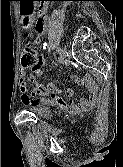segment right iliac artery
I'll return each instance as SVG.
<instances>
[{"label":"right iliac artery","instance_id":"obj_1","mask_svg":"<svg viewBox=\"0 0 123 167\" xmlns=\"http://www.w3.org/2000/svg\"><path fill=\"white\" fill-rule=\"evenodd\" d=\"M61 48H57L56 52L60 54Z\"/></svg>","mask_w":123,"mask_h":167}]
</instances>
